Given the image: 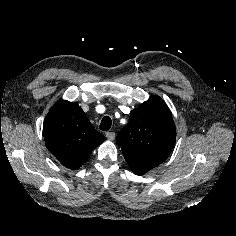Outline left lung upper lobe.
I'll return each instance as SVG.
<instances>
[{"label":"left lung upper lobe","mask_w":236,"mask_h":236,"mask_svg":"<svg viewBox=\"0 0 236 236\" xmlns=\"http://www.w3.org/2000/svg\"><path fill=\"white\" fill-rule=\"evenodd\" d=\"M116 141L127 162L152 167L164 162L176 141L175 125L165 102L152 96L134 109Z\"/></svg>","instance_id":"obj_1"}]
</instances>
